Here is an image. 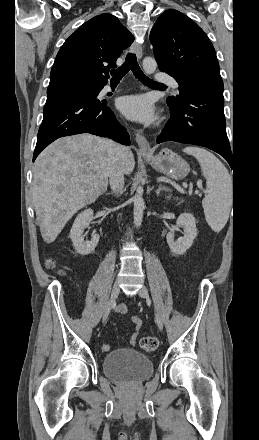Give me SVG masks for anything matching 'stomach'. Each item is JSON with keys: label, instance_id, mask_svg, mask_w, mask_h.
<instances>
[{"label": "stomach", "instance_id": "stomach-1", "mask_svg": "<svg viewBox=\"0 0 259 440\" xmlns=\"http://www.w3.org/2000/svg\"><path fill=\"white\" fill-rule=\"evenodd\" d=\"M145 159L156 171L174 180L184 179L190 171L188 163L170 149H162L158 155Z\"/></svg>", "mask_w": 259, "mask_h": 440}]
</instances>
